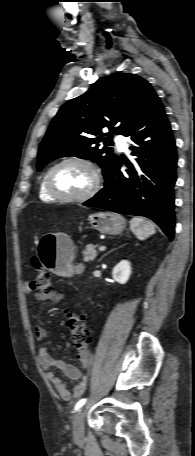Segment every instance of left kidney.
I'll use <instances>...</instances> for the list:
<instances>
[{"label":"left kidney","mask_w":195,"mask_h":456,"mask_svg":"<svg viewBox=\"0 0 195 456\" xmlns=\"http://www.w3.org/2000/svg\"><path fill=\"white\" fill-rule=\"evenodd\" d=\"M131 275V264L127 260L120 261L112 271L113 279L120 283L125 284Z\"/></svg>","instance_id":"5707ae66"}]
</instances>
